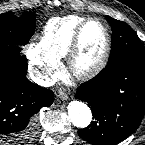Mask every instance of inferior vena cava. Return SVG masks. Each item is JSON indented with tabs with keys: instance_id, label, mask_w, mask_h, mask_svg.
Segmentation results:
<instances>
[{
	"instance_id": "inferior-vena-cava-1",
	"label": "inferior vena cava",
	"mask_w": 145,
	"mask_h": 145,
	"mask_svg": "<svg viewBox=\"0 0 145 145\" xmlns=\"http://www.w3.org/2000/svg\"><path fill=\"white\" fill-rule=\"evenodd\" d=\"M46 77L42 74H38L34 79L33 81L35 83H37L38 85L40 86H44V87H47V86H50V82L48 80H45Z\"/></svg>"
}]
</instances>
